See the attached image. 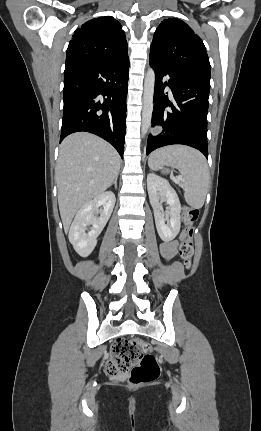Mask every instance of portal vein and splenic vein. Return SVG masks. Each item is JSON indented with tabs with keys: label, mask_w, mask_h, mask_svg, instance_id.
<instances>
[{
	"label": "portal vein and splenic vein",
	"mask_w": 261,
	"mask_h": 431,
	"mask_svg": "<svg viewBox=\"0 0 261 431\" xmlns=\"http://www.w3.org/2000/svg\"><path fill=\"white\" fill-rule=\"evenodd\" d=\"M173 179H174V178H173ZM180 180H181V177H178V178L174 179V182H175V183H179V182H180Z\"/></svg>",
	"instance_id": "obj_1"
}]
</instances>
